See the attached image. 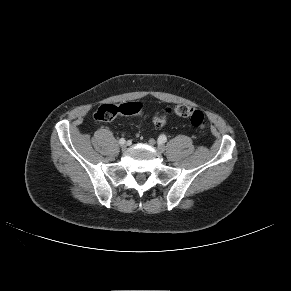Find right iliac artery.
<instances>
[{
	"label": "right iliac artery",
	"instance_id": "82829eb1",
	"mask_svg": "<svg viewBox=\"0 0 291 291\" xmlns=\"http://www.w3.org/2000/svg\"><path fill=\"white\" fill-rule=\"evenodd\" d=\"M119 143H120V144H124V143H125V139H124V138H121V139L119 140Z\"/></svg>",
	"mask_w": 291,
	"mask_h": 291
}]
</instances>
